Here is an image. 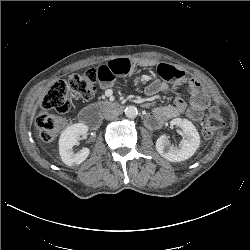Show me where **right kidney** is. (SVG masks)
I'll return each mask as SVG.
<instances>
[{"label":"right kidney","mask_w":250,"mask_h":250,"mask_svg":"<svg viewBox=\"0 0 250 250\" xmlns=\"http://www.w3.org/2000/svg\"><path fill=\"white\" fill-rule=\"evenodd\" d=\"M88 127L83 123H76L66 128L59 139V153L62 161L68 165H79L89 156L90 150L83 148L74 153L73 146L78 144V137L84 136Z\"/></svg>","instance_id":"right-kidney-1"}]
</instances>
